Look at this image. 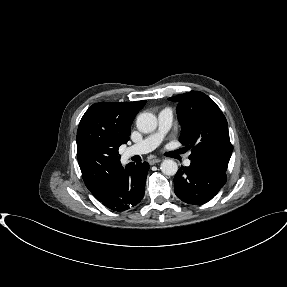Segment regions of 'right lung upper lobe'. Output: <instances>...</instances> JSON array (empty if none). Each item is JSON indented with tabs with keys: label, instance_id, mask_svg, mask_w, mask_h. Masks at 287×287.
<instances>
[{
	"label": "right lung upper lobe",
	"instance_id": "right-lung-upper-lobe-1",
	"mask_svg": "<svg viewBox=\"0 0 287 287\" xmlns=\"http://www.w3.org/2000/svg\"><path fill=\"white\" fill-rule=\"evenodd\" d=\"M145 103L99 102L83 115L77 131V158L84 183L94 196L122 167L119 147L129 140L130 126Z\"/></svg>",
	"mask_w": 287,
	"mask_h": 287
}]
</instances>
